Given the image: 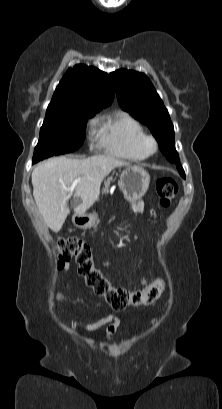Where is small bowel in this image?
Wrapping results in <instances>:
<instances>
[{
  "label": "small bowel",
  "instance_id": "c3829d8e",
  "mask_svg": "<svg viewBox=\"0 0 222 409\" xmlns=\"http://www.w3.org/2000/svg\"><path fill=\"white\" fill-rule=\"evenodd\" d=\"M144 209V202L143 201H139L136 204H134L132 206V210L136 213L142 212ZM151 215L153 217H155V212L152 210L151 211ZM63 286L65 287H70L72 286V282H66L63 283ZM56 298L57 300H59L60 302L64 303V304H68V305H83L87 302H89L91 300V298L89 297H84V298H77V299H69L68 297H66L64 294L62 293H57L56 294ZM94 303H95V308L99 309L101 307V301L99 299H94ZM120 324V320L118 317H116L113 314H109L105 317L100 318L99 320L90 323L87 325V331L88 332H93L96 331L102 327H106V333L108 335H112L116 332L118 326Z\"/></svg>",
  "mask_w": 222,
  "mask_h": 409
}]
</instances>
